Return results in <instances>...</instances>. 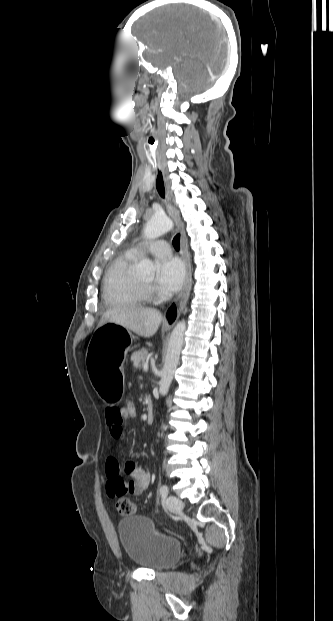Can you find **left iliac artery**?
Listing matches in <instances>:
<instances>
[{
	"label": "left iliac artery",
	"instance_id": "1",
	"mask_svg": "<svg viewBox=\"0 0 333 621\" xmlns=\"http://www.w3.org/2000/svg\"><path fill=\"white\" fill-rule=\"evenodd\" d=\"M159 494L166 496L168 494V487L166 485H162L159 489Z\"/></svg>",
	"mask_w": 333,
	"mask_h": 621
}]
</instances>
